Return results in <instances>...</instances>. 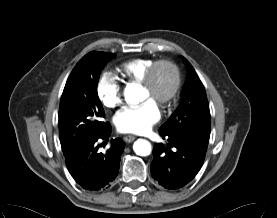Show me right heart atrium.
<instances>
[{
	"instance_id": "obj_1",
	"label": "right heart atrium",
	"mask_w": 277,
	"mask_h": 218,
	"mask_svg": "<svg viewBox=\"0 0 277 218\" xmlns=\"http://www.w3.org/2000/svg\"><path fill=\"white\" fill-rule=\"evenodd\" d=\"M97 92L103 104L113 107L122 100L120 84L109 74H102L98 80Z\"/></svg>"
}]
</instances>
